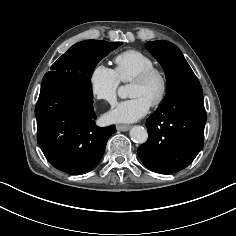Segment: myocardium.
<instances>
[{
  "instance_id": "obj_1",
  "label": "myocardium",
  "mask_w": 236,
  "mask_h": 236,
  "mask_svg": "<svg viewBox=\"0 0 236 236\" xmlns=\"http://www.w3.org/2000/svg\"><path fill=\"white\" fill-rule=\"evenodd\" d=\"M153 77H157L161 83L160 92L156 97V99L151 103L152 107H157L164 101L169 89V79L166 72L163 69L156 66L149 67L140 72L136 77H134L131 83H139V84L146 83Z\"/></svg>"
}]
</instances>
